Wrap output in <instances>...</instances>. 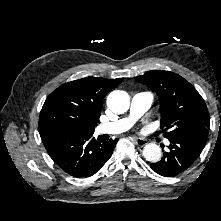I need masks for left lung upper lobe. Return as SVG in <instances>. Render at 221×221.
Returning a JSON list of instances; mask_svg holds the SVG:
<instances>
[{
	"label": "left lung upper lobe",
	"mask_w": 221,
	"mask_h": 221,
	"mask_svg": "<svg viewBox=\"0 0 221 221\" xmlns=\"http://www.w3.org/2000/svg\"><path fill=\"white\" fill-rule=\"evenodd\" d=\"M135 79L158 94L164 137L172 139L193 132L208 133L207 106L184 78L170 71L152 70Z\"/></svg>",
	"instance_id": "5c2ea615"
}]
</instances>
